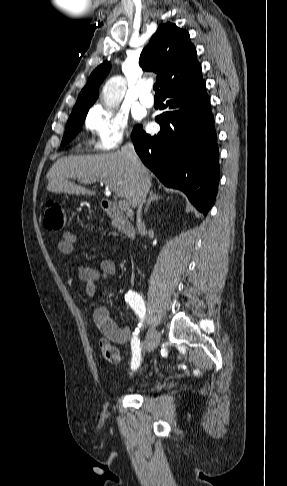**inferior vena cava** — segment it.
<instances>
[{"label": "inferior vena cava", "mask_w": 287, "mask_h": 486, "mask_svg": "<svg viewBox=\"0 0 287 486\" xmlns=\"http://www.w3.org/2000/svg\"><path fill=\"white\" fill-rule=\"evenodd\" d=\"M121 152L125 153L127 157H129V159L132 161L133 165L135 166V169L138 174V187H137V194H136V201L138 205L137 224L139 226H142L143 225L141 219L142 206L146 200V196L151 187V181L150 178L148 177L145 167L143 166L139 157L137 156L132 143H127L126 145H124L121 149Z\"/></svg>", "instance_id": "602c4592"}]
</instances>
